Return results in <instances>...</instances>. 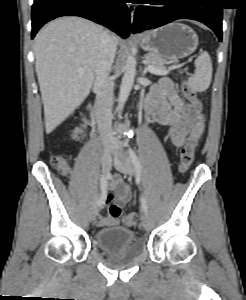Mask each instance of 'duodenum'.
Returning a JSON list of instances; mask_svg holds the SVG:
<instances>
[{"instance_id":"410a0bca","label":"duodenum","mask_w":246,"mask_h":300,"mask_svg":"<svg viewBox=\"0 0 246 300\" xmlns=\"http://www.w3.org/2000/svg\"><path fill=\"white\" fill-rule=\"evenodd\" d=\"M91 110L94 112V113H98L99 112V107L94 105Z\"/></svg>"}]
</instances>
